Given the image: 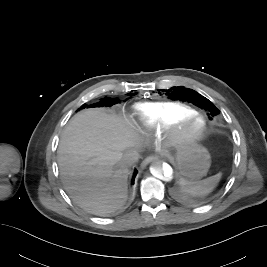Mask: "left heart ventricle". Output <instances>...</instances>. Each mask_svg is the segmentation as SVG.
<instances>
[{
	"label": "left heart ventricle",
	"mask_w": 267,
	"mask_h": 267,
	"mask_svg": "<svg viewBox=\"0 0 267 267\" xmlns=\"http://www.w3.org/2000/svg\"><path fill=\"white\" fill-rule=\"evenodd\" d=\"M198 126H199V122H195L191 127H190V129H196V128H198Z\"/></svg>",
	"instance_id": "1"
}]
</instances>
